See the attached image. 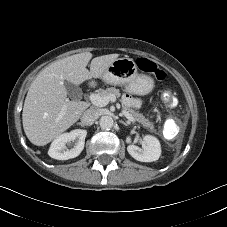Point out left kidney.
Returning a JSON list of instances; mask_svg holds the SVG:
<instances>
[{"mask_svg":"<svg viewBox=\"0 0 227 227\" xmlns=\"http://www.w3.org/2000/svg\"><path fill=\"white\" fill-rule=\"evenodd\" d=\"M130 137L126 142L130 143ZM128 153L136 160L141 162H153L159 159L161 155V146L159 140L152 135H145L142 141V149L136 145L127 146Z\"/></svg>","mask_w":227,"mask_h":227,"instance_id":"left-kidney-1","label":"left kidney"}]
</instances>
